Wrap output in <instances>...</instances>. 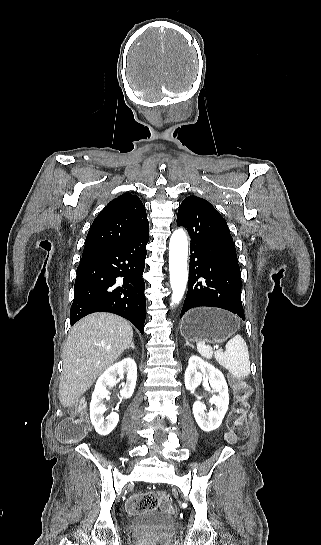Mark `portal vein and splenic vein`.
Listing matches in <instances>:
<instances>
[{
  "instance_id": "portal-vein-and-splenic-vein-1",
  "label": "portal vein and splenic vein",
  "mask_w": 321,
  "mask_h": 545,
  "mask_svg": "<svg viewBox=\"0 0 321 545\" xmlns=\"http://www.w3.org/2000/svg\"><path fill=\"white\" fill-rule=\"evenodd\" d=\"M220 345H221L220 342H218V341L214 342V344L212 345L211 351L213 353H216L218 351V348L220 347Z\"/></svg>"
}]
</instances>
